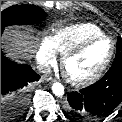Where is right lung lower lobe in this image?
<instances>
[{"instance_id": "right-lung-lower-lobe-1", "label": "right lung lower lobe", "mask_w": 122, "mask_h": 122, "mask_svg": "<svg viewBox=\"0 0 122 122\" xmlns=\"http://www.w3.org/2000/svg\"><path fill=\"white\" fill-rule=\"evenodd\" d=\"M39 78L29 65L10 61L1 51V122H12L24 110L27 85Z\"/></svg>"}]
</instances>
